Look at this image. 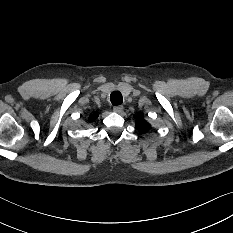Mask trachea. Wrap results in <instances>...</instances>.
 Wrapping results in <instances>:
<instances>
[{
	"instance_id": "trachea-1",
	"label": "trachea",
	"mask_w": 233,
	"mask_h": 233,
	"mask_svg": "<svg viewBox=\"0 0 233 233\" xmlns=\"http://www.w3.org/2000/svg\"><path fill=\"white\" fill-rule=\"evenodd\" d=\"M110 100L113 105H119L122 103V95L119 91H114L110 95Z\"/></svg>"
}]
</instances>
